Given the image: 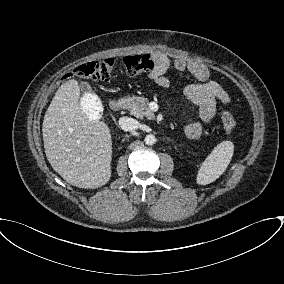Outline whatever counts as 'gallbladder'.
<instances>
[{"label": "gallbladder", "instance_id": "1", "mask_svg": "<svg viewBox=\"0 0 284 284\" xmlns=\"http://www.w3.org/2000/svg\"><path fill=\"white\" fill-rule=\"evenodd\" d=\"M84 89L85 90H87V91H89L90 90V88H89V86L86 84V85H84Z\"/></svg>", "mask_w": 284, "mask_h": 284}]
</instances>
